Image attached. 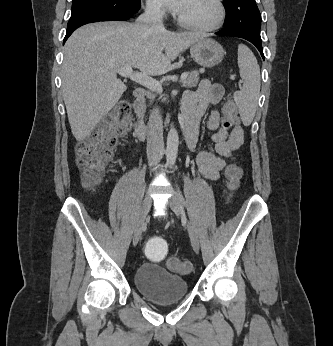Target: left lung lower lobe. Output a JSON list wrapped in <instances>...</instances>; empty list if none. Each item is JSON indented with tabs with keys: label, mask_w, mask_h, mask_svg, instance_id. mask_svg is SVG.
Listing matches in <instances>:
<instances>
[{
	"label": "left lung lower lobe",
	"mask_w": 333,
	"mask_h": 346,
	"mask_svg": "<svg viewBox=\"0 0 333 346\" xmlns=\"http://www.w3.org/2000/svg\"><path fill=\"white\" fill-rule=\"evenodd\" d=\"M218 35H226V36H233V37H239L248 40L252 44L256 46V48L259 50L262 58L264 59V54H263V48H262V42L261 39L254 37L252 35H249L248 33L234 29V28H223L222 30L216 32Z\"/></svg>",
	"instance_id": "left-lung-lower-lobe-1"
}]
</instances>
